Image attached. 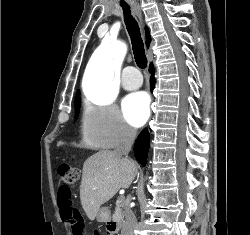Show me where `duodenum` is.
Instances as JSON below:
<instances>
[{
  "label": "duodenum",
  "mask_w": 250,
  "mask_h": 235,
  "mask_svg": "<svg viewBox=\"0 0 250 235\" xmlns=\"http://www.w3.org/2000/svg\"><path fill=\"white\" fill-rule=\"evenodd\" d=\"M116 224L115 222H110L109 223V235H117L118 231L115 228Z\"/></svg>",
  "instance_id": "410a0bca"
}]
</instances>
